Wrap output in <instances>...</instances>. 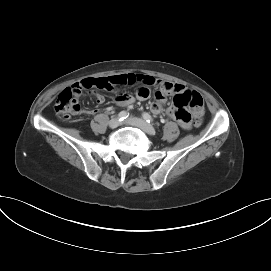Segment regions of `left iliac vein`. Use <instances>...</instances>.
Instances as JSON below:
<instances>
[{
    "label": "left iliac vein",
    "mask_w": 271,
    "mask_h": 271,
    "mask_svg": "<svg viewBox=\"0 0 271 271\" xmlns=\"http://www.w3.org/2000/svg\"><path fill=\"white\" fill-rule=\"evenodd\" d=\"M126 124L132 125L142 129L144 132L148 133L149 135H154L156 133L155 129L148 124L145 120L140 118H129L125 121Z\"/></svg>",
    "instance_id": "obj_1"
}]
</instances>
